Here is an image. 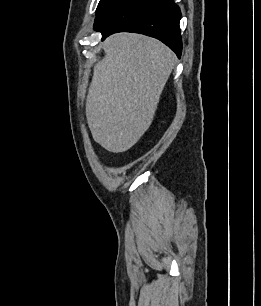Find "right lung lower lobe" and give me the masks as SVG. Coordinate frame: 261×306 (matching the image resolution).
Returning <instances> with one entry per match:
<instances>
[{
  "label": "right lung lower lobe",
  "mask_w": 261,
  "mask_h": 306,
  "mask_svg": "<svg viewBox=\"0 0 261 306\" xmlns=\"http://www.w3.org/2000/svg\"><path fill=\"white\" fill-rule=\"evenodd\" d=\"M181 12L173 0H112L96 17L102 40L116 32H135L161 40L182 53Z\"/></svg>",
  "instance_id": "1"
}]
</instances>
